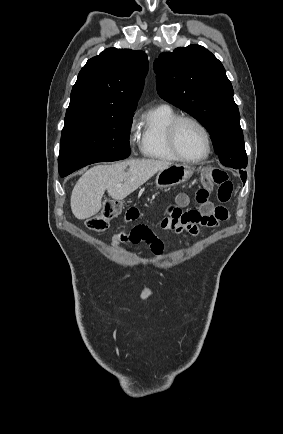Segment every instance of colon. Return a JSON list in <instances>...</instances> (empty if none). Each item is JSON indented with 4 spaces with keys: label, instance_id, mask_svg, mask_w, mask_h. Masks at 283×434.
<instances>
[{
    "label": "colon",
    "instance_id": "colon-1",
    "mask_svg": "<svg viewBox=\"0 0 283 434\" xmlns=\"http://www.w3.org/2000/svg\"><path fill=\"white\" fill-rule=\"evenodd\" d=\"M202 178L206 187H217V199L221 203L230 200L233 184L224 170L217 167L207 168L203 171ZM121 211L122 204L119 201H107L101 213L87 220V226L93 231L102 232L108 228L110 221L117 217Z\"/></svg>",
    "mask_w": 283,
    "mask_h": 434
}]
</instances>
